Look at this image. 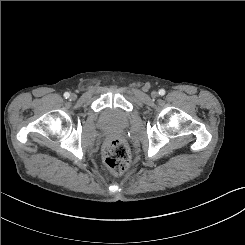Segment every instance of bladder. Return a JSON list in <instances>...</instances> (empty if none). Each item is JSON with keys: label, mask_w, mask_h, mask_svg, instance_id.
I'll return each instance as SVG.
<instances>
[{"label": "bladder", "mask_w": 245, "mask_h": 245, "mask_svg": "<svg viewBox=\"0 0 245 245\" xmlns=\"http://www.w3.org/2000/svg\"><path fill=\"white\" fill-rule=\"evenodd\" d=\"M128 125V114L118 109L104 110L99 119V126L104 130H123Z\"/></svg>", "instance_id": "1"}]
</instances>
